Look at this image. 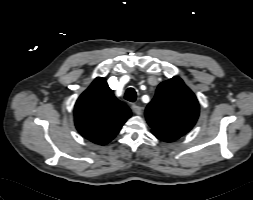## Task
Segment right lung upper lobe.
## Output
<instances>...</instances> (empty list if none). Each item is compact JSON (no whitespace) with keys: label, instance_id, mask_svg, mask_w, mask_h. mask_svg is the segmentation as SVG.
Listing matches in <instances>:
<instances>
[{"label":"right lung upper lobe","instance_id":"right-lung-upper-lobe-1","mask_svg":"<svg viewBox=\"0 0 253 200\" xmlns=\"http://www.w3.org/2000/svg\"><path fill=\"white\" fill-rule=\"evenodd\" d=\"M74 114L77 130L99 145L110 142L131 117L130 109L114 96L105 78L101 77L78 98Z\"/></svg>","mask_w":253,"mask_h":200}]
</instances>
